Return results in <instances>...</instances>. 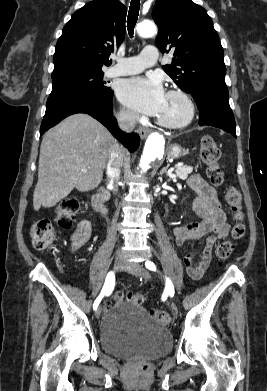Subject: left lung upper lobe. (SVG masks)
Returning a JSON list of instances; mask_svg holds the SVG:
<instances>
[{"label": "left lung upper lobe", "instance_id": "left-lung-upper-lobe-1", "mask_svg": "<svg viewBox=\"0 0 267 391\" xmlns=\"http://www.w3.org/2000/svg\"><path fill=\"white\" fill-rule=\"evenodd\" d=\"M152 18L161 52L174 51L164 71L187 93L206 87L227 89L224 53L206 10L192 0H157Z\"/></svg>", "mask_w": 267, "mask_h": 391}]
</instances>
